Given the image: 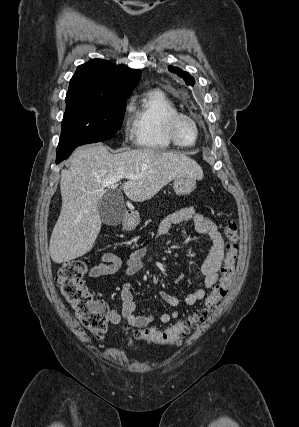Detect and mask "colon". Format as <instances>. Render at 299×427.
Returning a JSON list of instances; mask_svg holds the SVG:
<instances>
[{
    "label": "colon",
    "mask_w": 299,
    "mask_h": 427,
    "mask_svg": "<svg viewBox=\"0 0 299 427\" xmlns=\"http://www.w3.org/2000/svg\"><path fill=\"white\" fill-rule=\"evenodd\" d=\"M223 235L227 241L224 264L220 269V278L207 296L204 305L164 330L143 328L136 332L138 338L157 344L178 343L202 324L212 309L226 297L235 274V260L238 254V228L233 220L226 221ZM86 271L87 265L84 261L79 259L67 261L59 270L57 283L62 297L83 327L97 335L106 330L109 308L105 302L94 299L84 284L83 277Z\"/></svg>",
    "instance_id": "5ec220e1"
}]
</instances>
